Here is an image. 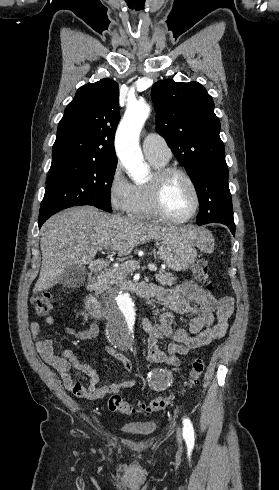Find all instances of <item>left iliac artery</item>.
<instances>
[{
    "instance_id": "1",
    "label": "left iliac artery",
    "mask_w": 279,
    "mask_h": 490,
    "mask_svg": "<svg viewBox=\"0 0 279 490\" xmlns=\"http://www.w3.org/2000/svg\"><path fill=\"white\" fill-rule=\"evenodd\" d=\"M183 437L186 441L187 447L193 449L194 447V429L193 425L188 418L183 419Z\"/></svg>"
}]
</instances>
